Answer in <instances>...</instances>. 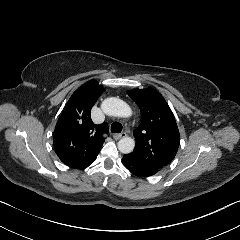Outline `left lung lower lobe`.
Returning <instances> with one entry per match:
<instances>
[{"label": "left lung lower lobe", "instance_id": "0a47b994", "mask_svg": "<svg viewBox=\"0 0 240 240\" xmlns=\"http://www.w3.org/2000/svg\"><path fill=\"white\" fill-rule=\"evenodd\" d=\"M122 162L124 166L135 176L148 177L156 174L158 171V170L146 169L139 165H134L130 160L126 158V156H123Z\"/></svg>", "mask_w": 240, "mask_h": 240}]
</instances>
